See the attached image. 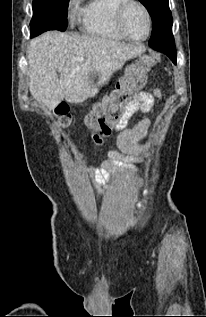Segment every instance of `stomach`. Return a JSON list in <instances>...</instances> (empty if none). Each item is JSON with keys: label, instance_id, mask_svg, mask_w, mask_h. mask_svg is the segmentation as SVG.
<instances>
[{"label": "stomach", "instance_id": "obj_1", "mask_svg": "<svg viewBox=\"0 0 206 317\" xmlns=\"http://www.w3.org/2000/svg\"><path fill=\"white\" fill-rule=\"evenodd\" d=\"M142 57H147V56H142ZM137 59H134V63H125V70L126 68H133L134 65H136ZM93 76H98V71H93ZM116 78V73L115 72H105L103 74V77L101 78H96L95 82L97 84H88L87 89L88 91H93L94 93L97 94H104L105 91H111L112 88L116 87V82L113 81V79ZM91 81L93 82L92 78Z\"/></svg>", "mask_w": 206, "mask_h": 317}]
</instances>
